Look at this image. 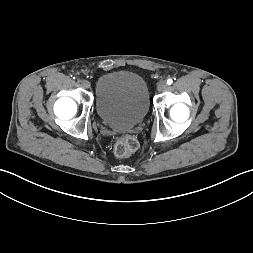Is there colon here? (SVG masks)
I'll use <instances>...</instances> for the list:
<instances>
[{
  "mask_svg": "<svg viewBox=\"0 0 253 253\" xmlns=\"http://www.w3.org/2000/svg\"><path fill=\"white\" fill-rule=\"evenodd\" d=\"M138 148V141L132 135H125L117 140L114 145V154L118 158L127 157Z\"/></svg>",
  "mask_w": 253,
  "mask_h": 253,
  "instance_id": "5ec220e1",
  "label": "colon"
}]
</instances>
